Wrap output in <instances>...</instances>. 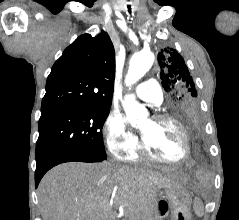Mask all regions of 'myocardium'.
I'll use <instances>...</instances> for the list:
<instances>
[{
	"mask_svg": "<svg viewBox=\"0 0 239 220\" xmlns=\"http://www.w3.org/2000/svg\"><path fill=\"white\" fill-rule=\"evenodd\" d=\"M152 120L157 123H170L178 127L184 139L185 152L184 155L177 160H169L162 158L151 151V149L149 148V146L146 144L145 140L142 137L141 142L139 144V150L141 154L150 160L169 165H178L188 160L191 155V142L188 131L186 127L183 125V123H181L178 119L168 114H156L152 117Z\"/></svg>",
	"mask_w": 239,
	"mask_h": 220,
	"instance_id": "obj_1",
	"label": "myocardium"
}]
</instances>
